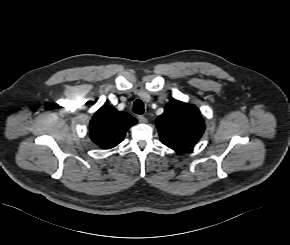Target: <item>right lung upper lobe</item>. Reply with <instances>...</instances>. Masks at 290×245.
Here are the masks:
<instances>
[{
  "mask_svg": "<svg viewBox=\"0 0 290 245\" xmlns=\"http://www.w3.org/2000/svg\"><path fill=\"white\" fill-rule=\"evenodd\" d=\"M137 123L128 113L117 111L111 106H102L93 116L89 125L92 141L104 149L119 144L126 131Z\"/></svg>",
  "mask_w": 290,
  "mask_h": 245,
  "instance_id": "obj_1",
  "label": "right lung upper lobe"
}]
</instances>
